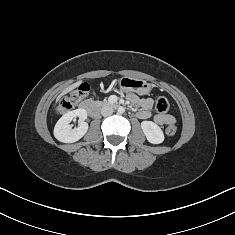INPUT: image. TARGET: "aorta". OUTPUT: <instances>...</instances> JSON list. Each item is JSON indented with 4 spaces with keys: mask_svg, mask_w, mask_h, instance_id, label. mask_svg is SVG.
<instances>
[{
    "mask_svg": "<svg viewBox=\"0 0 235 235\" xmlns=\"http://www.w3.org/2000/svg\"><path fill=\"white\" fill-rule=\"evenodd\" d=\"M124 112H125V108L122 107V106H120V107L118 108V113L122 114V113H124Z\"/></svg>",
    "mask_w": 235,
    "mask_h": 235,
    "instance_id": "aorta-1",
    "label": "aorta"
}]
</instances>
